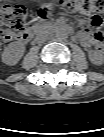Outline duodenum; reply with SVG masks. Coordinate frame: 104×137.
Returning a JSON list of instances; mask_svg holds the SVG:
<instances>
[{
	"mask_svg": "<svg viewBox=\"0 0 104 137\" xmlns=\"http://www.w3.org/2000/svg\"><path fill=\"white\" fill-rule=\"evenodd\" d=\"M43 31V28L39 25H35L33 27H31L28 31H27V37L28 38H31L35 35H38L40 34L41 32Z\"/></svg>",
	"mask_w": 104,
	"mask_h": 137,
	"instance_id": "obj_1",
	"label": "duodenum"
}]
</instances>
